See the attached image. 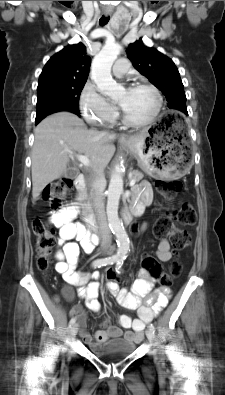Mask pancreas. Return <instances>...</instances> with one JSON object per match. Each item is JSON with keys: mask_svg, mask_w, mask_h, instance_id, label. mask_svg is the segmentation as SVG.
Listing matches in <instances>:
<instances>
[{"mask_svg": "<svg viewBox=\"0 0 225 395\" xmlns=\"http://www.w3.org/2000/svg\"><path fill=\"white\" fill-rule=\"evenodd\" d=\"M143 176H144V175H143L142 172L133 171V172H132V175H131V179H134L136 182H139V181L143 178ZM80 196H81L83 199L88 200V203H87L86 206L88 207V209L91 210V204H90V202H89L90 197H89V195L87 194V190H86V189L80 190Z\"/></svg>", "mask_w": 225, "mask_h": 395, "instance_id": "obj_1", "label": "pancreas"}]
</instances>
